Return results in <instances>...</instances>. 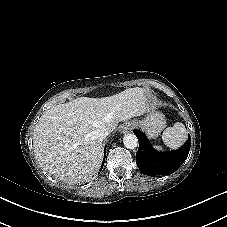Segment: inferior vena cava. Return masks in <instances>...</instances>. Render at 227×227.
I'll return each instance as SVG.
<instances>
[{
	"label": "inferior vena cava",
	"mask_w": 227,
	"mask_h": 227,
	"mask_svg": "<svg viewBox=\"0 0 227 227\" xmlns=\"http://www.w3.org/2000/svg\"><path fill=\"white\" fill-rule=\"evenodd\" d=\"M109 134V131L106 128H101L95 131V138L103 141Z\"/></svg>",
	"instance_id": "602c4592"
}]
</instances>
